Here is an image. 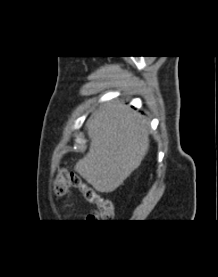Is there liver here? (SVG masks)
<instances>
[{
	"mask_svg": "<svg viewBox=\"0 0 218 277\" xmlns=\"http://www.w3.org/2000/svg\"><path fill=\"white\" fill-rule=\"evenodd\" d=\"M89 152L75 165L95 190L110 193L137 169L149 150L148 121L123 104L109 103L86 123Z\"/></svg>",
	"mask_w": 218,
	"mask_h": 277,
	"instance_id": "6515ba94",
	"label": "liver"
}]
</instances>
